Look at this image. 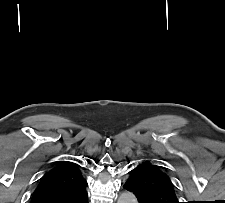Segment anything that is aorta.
I'll return each instance as SVG.
<instances>
[{
	"instance_id": "762f6f07",
	"label": "aorta",
	"mask_w": 225,
	"mask_h": 203,
	"mask_svg": "<svg viewBox=\"0 0 225 203\" xmlns=\"http://www.w3.org/2000/svg\"><path fill=\"white\" fill-rule=\"evenodd\" d=\"M117 203H138V202L133 193L123 192L120 194Z\"/></svg>"
}]
</instances>
